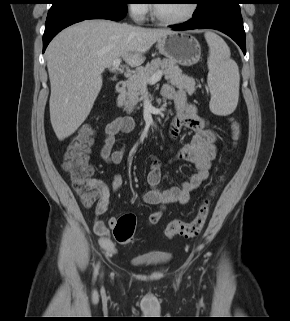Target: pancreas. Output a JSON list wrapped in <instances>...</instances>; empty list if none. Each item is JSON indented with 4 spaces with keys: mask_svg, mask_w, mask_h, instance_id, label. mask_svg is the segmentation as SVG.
I'll return each instance as SVG.
<instances>
[{
    "mask_svg": "<svg viewBox=\"0 0 290 321\" xmlns=\"http://www.w3.org/2000/svg\"><path fill=\"white\" fill-rule=\"evenodd\" d=\"M160 69L172 85L180 89H185L188 94L195 92L194 79L184 75L175 62L169 59L161 60L160 58H156L150 63H147L145 67L139 68L136 74L128 79L127 92L118 97V106H124V110L131 113L139 101V96L143 95L146 90L147 84L144 82Z\"/></svg>",
    "mask_w": 290,
    "mask_h": 321,
    "instance_id": "obj_1",
    "label": "pancreas"
}]
</instances>
